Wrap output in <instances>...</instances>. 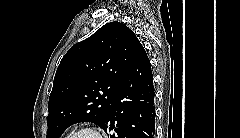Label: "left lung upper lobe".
Returning a JSON list of instances; mask_svg holds the SVG:
<instances>
[{"label":"left lung upper lobe","mask_w":240,"mask_h":138,"mask_svg":"<svg viewBox=\"0 0 240 138\" xmlns=\"http://www.w3.org/2000/svg\"><path fill=\"white\" fill-rule=\"evenodd\" d=\"M142 47L125 24L110 22L75 44L62 58L48 103L47 138L72 124L103 126L111 102Z\"/></svg>","instance_id":"obj_1"}]
</instances>
